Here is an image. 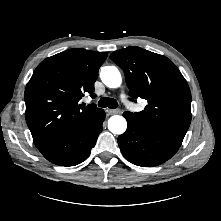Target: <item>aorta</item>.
Returning a JSON list of instances; mask_svg holds the SVG:
<instances>
[{
    "label": "aorta",
    "mask_w": 221,
    "mask_h": 221,
    "mask_svg": "<svg viewBox=\"0 0 221 221\" xmlns=\"http://www.w3.org/2000/svg\"><path fill=\"white\" fill-rule=\"evenodd\" d=\"M100 78L109 88H117L122 83V77L115 66H105L101 68ZM108 129L113 134H123L127 129V122L123 116L114 115L108 120Z\"/></svg>",
    "instance_id": "aorta-1"
}]
</instances>
